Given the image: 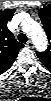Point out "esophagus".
<instances>
[{"instance_id":"esophagus-1","label":"esophagus","mask_w":51,"mask_h":101,"mask_svg":"<svg viewBox=\"0 0 51 101\" xmlns=\"http://www.w3.org/2000/svg\"><path fill=\"white\" fill-rule=\"evenodd\" d=\"M26 46L28 48H32L34 45H33V42L31 40H29L27 43H26Z\"/></svg>"}]
</instances>
